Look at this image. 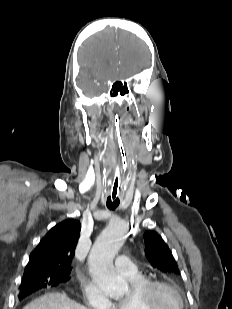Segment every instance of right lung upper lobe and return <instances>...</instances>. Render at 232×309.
Segmentation results:
<instances>
[{"mask_svg":"<svg viewBox=\"0 0 232 309\" xmlns=\"http://www.w3.org/2000/svg\"><path fill=\"white\" fill-rule=\"evenodd\" d=\"M80 230V222L75 219L54 226L31 252L24 274L37 271L70 274Z\"/></svg>","mask_w":232,"mask_h":309,"instance_id":"1","label":"right lung upper lobe"}]
</instances>
